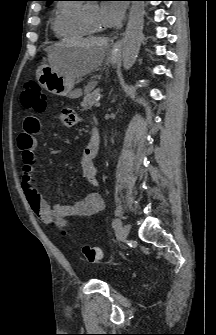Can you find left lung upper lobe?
Wrapping results in <instances>:
<instances>
[{
	"label": "left lung upper lobe",
	"mask_w": 216,
	"mask_h": 335,
	"mask_svg": "<svg viewBox=\"0 0 216 335\" xmlns=\"http://www.w3.org/2000/svg\"><path fill=\"white\" fill-rule=\"evenodd\" d=\"M42 1H48V2H52V1H55V0H42Z\"/></svg>",
	"instance_id": "1"
}]
</instances>
